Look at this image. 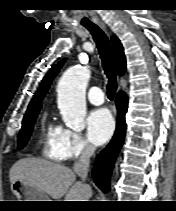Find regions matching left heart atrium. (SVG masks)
Instances as JSON below:
<instances>
[{"label": "left heart atrium", "mask_w": 176, "mask_h": 211, "mask_svg": "<svg viewBox=\"0 0 176 211\" xmlns=\"http://www.w3.org/2000/svg\"><path fill=\"white\" fill-rule=\"evenodd\" d=\"M86 128L89 140L95 145H102L114 131L113 117L107 109L93 110L86 119Z\"/></svg>", "instance_id": "39dd6f15"}]
</instances>
